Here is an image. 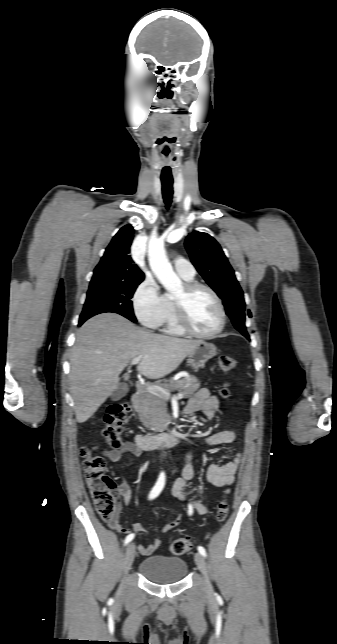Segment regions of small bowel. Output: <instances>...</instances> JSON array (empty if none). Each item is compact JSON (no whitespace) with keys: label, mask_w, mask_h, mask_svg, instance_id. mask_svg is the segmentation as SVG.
<instances>
[{"label":"small bowel","mask_w":337,"mask_h":644,"mask_svg":"<svg viewBox=\"0 0 337 644\" xmlns=\"http://www.w3.org/2000/svg\"><path fill=\"white\" fill-rule=\"evenodd\" d=\"M218 407V397L213 395L207 388H203L190 398L185 408V414L191 415L197 411H202L206 418L210 420L214 418ZM235 439V431L225 430L209 435L205 441L208 445H221L232 443L233 441H235ZM125 453H130L136 457H139L142 451L132 442H125L118 449H110L104 451V456L111 463H119ZM241 456V452H238L236 454V457L232 461H229L224 465L210 464L206 472V478L208 482H210L214 486L225 487L224 493L228 494L230 492V486L235 480L236 472L241 461ZM194 474L193 453L192 451H189L185 455V465L183 467L182 474L174 481L172 493L180 501L188 503L192 507V509L196 510L199 514H206L208 512L207 506H205L200 501L187 498L183 493L184 487L186 486L187 482L194 477ZM117 493L123 498V501L126 505H129L132 502L131 488L127 483L122 482L121 484H119L117 487ZM177 525L178 520L170 521L161 527V532L168 533L175 529ZM109 526L111 529L120 534L127 536L133 534L130 533L127 529L123 528L117 518L109 522ZM133 528L135 532L145 531L141 522L134 523ZM162 544V539L156 538L150 545H138L137 548L143 556H149L153 554L159 547H161Z\"/></svg>","instance_id":"small-bowel-1"}]
</instances>
